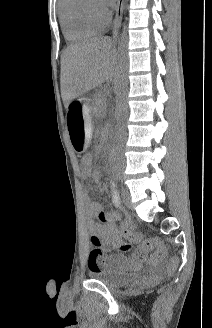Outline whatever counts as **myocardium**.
<instances>
[{
  "label": "myocardium",
  "instance_id": "myocardium-1",
  "mask_svg": "<svg viewBox=\"0 0 212 328\" xmlns=\"http://www.w3.org/2000/svg\"><path fill=\"white\" fill-rule=\"evenodd\" d=\"M96 12H97L102 18L107 19L106 14H100L97 10H96Z\"/></svg>",
  "mask_w": 212,
  "mask_h": 328
}]
</instances>
